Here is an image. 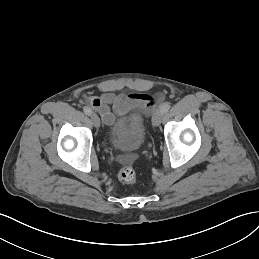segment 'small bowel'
Returning <instances> with one entry per match:
<instances>
[{
    "instance_id": "c3829d8e",
    "label": "small bowel",
    "mask_w": 259,
    "mask_h": 259,
    "mask_svg": "<svg viewBox=\"0 0 259 259\" xmlns=\"http://www.w3.org/2000/svg\"><path fill=\"white\" fill-rule=\"evenodd\" d=\"M101 96L84 95V100L101 116L106 125H112L115 115L125 116L136 108H140L146 115L153 112L154 100L142 93L115 94L103 89ZM113 109V111L111 110Z\"/></svg>"
}]
</instances>
